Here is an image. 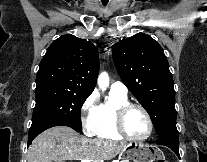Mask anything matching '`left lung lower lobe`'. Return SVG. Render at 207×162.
<instances>
[{
    "label": "left lung lower lobe",
    "instance_id": "left-lung-lower-lobe-1",
    "mask_svg": "<svg viewBox=\"0 0 207 162\" xmlns=\"http://www.w3.org/2000/svg\"><path fill=\"white\" fill-rule=\"evenodd\" d=\"M159 145H164L169 147L171 150L175 152V154L180 158L179 155V133L177 130H172L166 132L159 136L156 141Z\"/></svg>",
    "mask_w": 207,
    "mask_h": 162
}]
</instances>
